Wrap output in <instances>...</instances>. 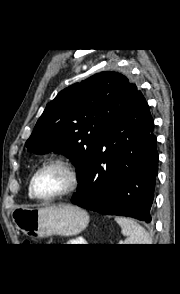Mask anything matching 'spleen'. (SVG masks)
I'll return each instance as SVG.
<instances>
[{
    "label": "spleen",
    "mask_w": 180,
    "mask_h": 294,
    "mask_svg": "<svg viewBox=\"0 0 180 294\" xmlns=\"http://www.w3.org/2000/svg\"><path fill=\"white\" fill-rule=\"evenodd\" d=\"M115 221L126 236L124 244H151L149 233L133 219L117 216Z\"/></svg>",
    "instance_id": "3e777b00"
}]
</instances>
